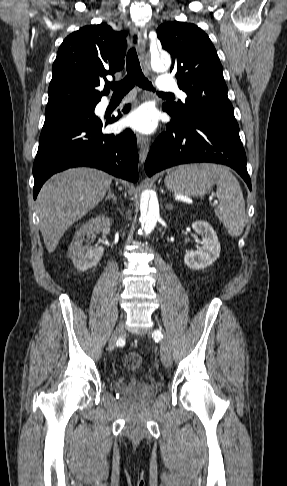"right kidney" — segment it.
<instances>
[{
    "instance_id": "right-kidney-1",
    "label": "right kidney",
    "mask_w": 287,
    "mask_h": 486,
    "mask_svg": "<svg viewBox=\"0 0 287 486\" xmlns=\"http://www.w3.org/2000/svg\"><path fill=\"white\" fill-rule=\"evenodd\" d=\"M95 231H101L104 235L110 232V220L105 215L91 218L76 231L72 243L69 246V258L80 271H86L96 266L101 260L104 248L102 246L89 249L83 246L84 238L90 237Z\"/></svg>"
}]
</instances>
